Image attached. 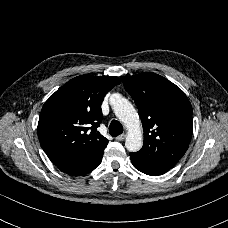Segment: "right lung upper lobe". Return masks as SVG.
<instances>
[{"label":"right lung upper lobe","mask_w":228,"mask_h":228,"mask_svg":"<svg viewBox=\"0 0 228 228\" xmlns=\"http://www.w3.org/2000/svg\"><path fill=\"white\" fill-rule=\"evenodd\" d=\"M120 84L117 77L81 75L68 81L45 102L38 122V138L58 168L79 164L108 140L97 132L104 96Z\"/></svg>","instance_id":"cb5924a9"}]
</instances>
